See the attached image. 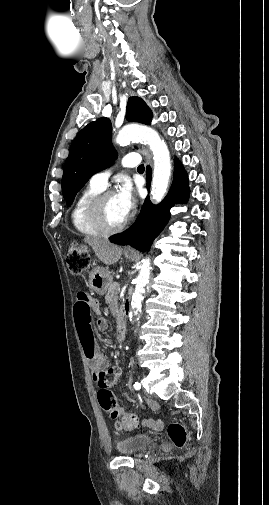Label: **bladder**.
Listing matches in <instances>:
<instances>
[{"instance_id":"1","label":"bladder","mask_w":269,"mask_h":505,"mask_svg":"<svg viewBox=\"0 0 269 505\" xmlns=\"http://www.w3.org/2000/svg\"><path fill=\"white\" fill-rule=\"evenodd\" d=\"M153 442L154 439L151 436L139 434L119 441L116 449L121 455L136 456L147 450Z\"/></svg>"}]
</instances>
